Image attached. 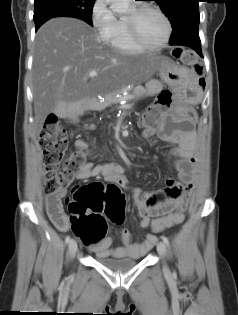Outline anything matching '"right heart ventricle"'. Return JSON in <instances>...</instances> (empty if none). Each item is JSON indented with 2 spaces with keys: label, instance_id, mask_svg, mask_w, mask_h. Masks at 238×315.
Returning a JSON list of instances; mask_svg holds the SVG:
<instances>
[{
  "label": "right heart ventricle",
  "instance_id": "right-heart-ventricle-1",
  "mask_svg": "<svg viewBox=\"0 0 238 315\" xmlns=\"http://www.w3.org/2000/svg\"><path fill=\"white\" fill-rule=\"evenodd\" d=\"M106 44L113 50L123 54H137L143 52L130 39L126 16L116 18V23L110 35L105 39Z\"/></svg>",
  "mask_w": 238,
  "mask_h": 315
}]
</instances>
